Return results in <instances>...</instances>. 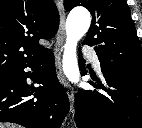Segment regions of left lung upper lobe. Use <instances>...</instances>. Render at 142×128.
Here are the masks:
<instances>
[{
	"instance_id": "obj_1",
	"label": "left lung upper lobe",
	"mask_w": 142,
	"mask_h": 128,
	"mask_svg": "<svg viewBox=\"0 0 142 128\" xmlns=\"http://www.w3.org/2000/svg\"><path fill=\"white\" fill-rule=\"evenodd\" d=\"M86 7L92 22L84 44L93 46L107 72L142 77V49L125 0H64L67 11Z\"/></svg>"
}]
</instances>
